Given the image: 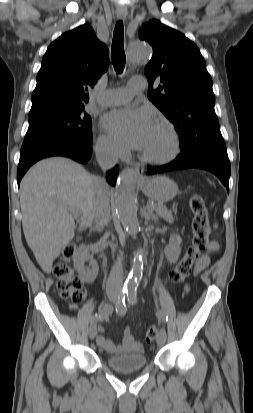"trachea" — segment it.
<instances>
[{
	"instance_id": "3493384b",
	"label": "trachea",
	"mask_w": 253,
	"mask_h": 413,
	"mask_svg": "<svg viewBox=\"0 0 253 413\" xmlns=\"http://www.w3.org/2000/svg\"><path fill=\"white\" fill-rule=\"evenodd\" d=\"M124 28L122 21H118L113 34L111 47V59L115 71L120 74L125 67V51H124Z\"/></svg>"
}]
</instances>
